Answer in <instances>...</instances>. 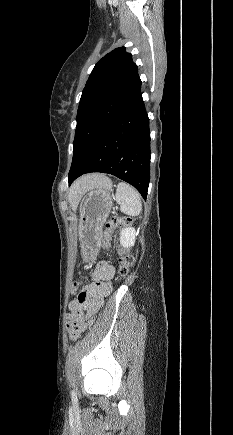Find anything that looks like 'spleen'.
<instances>
[{"mask_svg": "<svg viewBox=\"0 0 233 435\" xmlns=\"http://www.w3.org/2000/svg\"><path fill=\"white\" fill-rule=\"evenodd\" d=\"M115 200L120 204L122 213L129 216H138L142 211V202L139 192L127 183L118 184Z\"/></svg>", "mask_w": 233, "mask_h": 435, "instance_id": "obj_1", "label": "spleen"}]
</instances>
